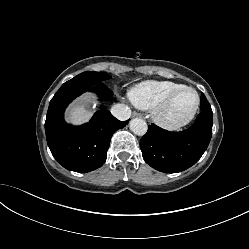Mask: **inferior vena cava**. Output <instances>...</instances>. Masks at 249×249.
Wrapping results in <instances>:
<instances>
[{
    "instance_id": "obj_1",
    "label": "inferior vena cava",
    "mask_w": 249,
    "mask_h": 249,
    "mask_svg": "<svg viewBox=\"0 0 249 249\" xmlns=\"http://www.w3.org/2000/svg\"><path fill=\"white\" fill-rule=\"evenodd\" d=\"M111 113L114 117L119 120H127L131 116V110L128 106L124 104H115L111 108Z\"/></svg>"
}]
</instances>
